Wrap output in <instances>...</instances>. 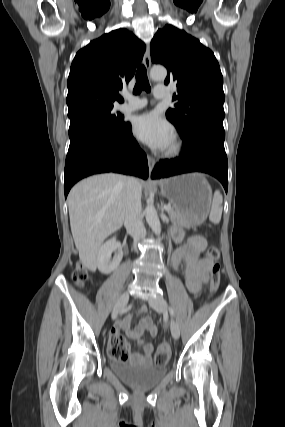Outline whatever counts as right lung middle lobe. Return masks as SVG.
Returning a JSON list of instances; mask_svg holds the SVG:
<instances>
[{"label":"right lung middle lobe","instance_id":"obj_1","mask_svg":"<svg viewBox=\"0 0 285 427\" xmlns=\"http://www.w3.org/2000/svg\"><path fill=\"white\" fill-rule=\"evenodd\" d=\"M68 117L70 118L69 137L89 126H100L111 131H119L127 124L120 113L113 112V105L86 107L69 114Z\"/></svg>","mask_w":285,"mask_h":427}]
</instances>
